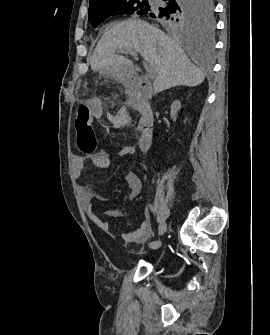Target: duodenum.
Wrapping results in <instances>:
<instances>
[{
    "label": "duodenum",
    "instance_id": "obj_1",
    "mask_svg": "<svg viewBox=\"0 0 270 335\" xmlns=\"http://www.w3.org/2000/svg\"><path fill=\"white\" fill-rule=\"evenodd\" d=\"M127 91L133 96L131 106L137 109L140 114L138 145L142 151H147L153 137V111L143 98L145 88L141 84L130 81L127 85Z\"/></svg>",
    "mask_w": 270,
    "mask_h": 335
}]
</instances>
